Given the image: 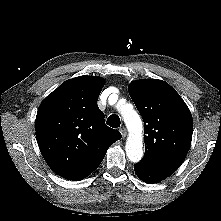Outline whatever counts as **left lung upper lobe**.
<instances>
[{
  "label": "left lung upper lobe",
  "mask_w": 221,
  "mask_h": 221,
  "mask_svg": "<svg viewBox=\"0 0 221 221\" xmlns=\"http://www.w3.org/2000/svg\"><path fill=\"white\" fill-rule=\"evenodd\" d=\"M129 94L145 126L140 162L173 173L191 144L193 122L187 105L170 85L156 79L132 82Z\"/></svg>",
  "instance_id": "1"
}]
</instances>
